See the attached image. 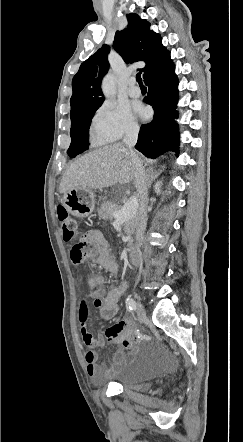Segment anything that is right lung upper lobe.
<instances>
[{
	"label": "right lung upper lobe",
	"mask_w": 243,
	"mask_h": 442,
	"mask_svg": "<svg viewBox=\"0 0 243 442\" xmlns=\"http://www.w3.org/2000/svg\"><path fill=\"white\" fill-rule=\"evenodd\" d=\"M128 25L117 31L113 46L126 63L144 61L146 66L139 69L143 78L155 68L168 53L162 45L161 36L150 30V24L137 14H127ZM110 51L104 44L95 54L83 62L72 80L73 94L70 99L71 120L78 115L98 109L104 101L101 80L109 69L107 55Z\"/></svg>",
	"instance_id": "right-lung-upper-lobe-1"
}]
</instances>
